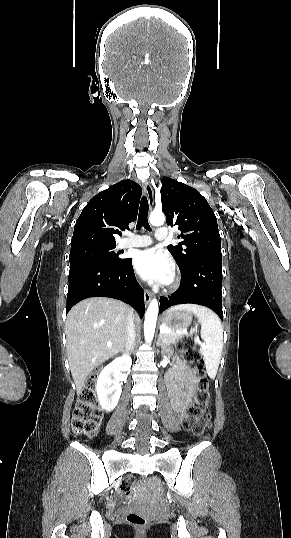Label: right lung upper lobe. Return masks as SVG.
<instances>
[{
	"instance_id": "cb5924a9",
	"label": "right lung upper lobe",
	"mask_w": 291,
	"mask_h": 538,
	"mask_svg": "<svg viewBox=\"0 0 291 538\" xmlns=\"http://www.w3.org/2000/svg\"><path fill=\"white\" fill-rule=\"evenodd\" d=\"M141 187L132 180L120 181L95 195L74 226L71 249L89 245H116L114 234L137 218Z\"/></svg>"
}]
</instances>
